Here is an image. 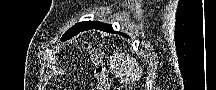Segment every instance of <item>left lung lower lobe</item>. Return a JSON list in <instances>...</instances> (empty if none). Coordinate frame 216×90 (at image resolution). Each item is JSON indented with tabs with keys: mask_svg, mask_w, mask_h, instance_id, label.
<instances>
[{
	"mask_svg": "<svg viewBox=\"0 0 216 90\" xmlns=\"http://www.w3.org/2000/svg\"><path fill=\"white\" fill-rule=\"evenodd\" d=\"M88 29H99V30H103V31H106L109 33H118L112 29L111 25L103 24L101 22H96L95 24L91 25L89 28H87L85 30H88Z\"/></svg>",
	"mask_w": 216,
	"mask_h": 90,
	"instance_id": "1",
	"label": "left lung lower lobe"
}]
</instances>
